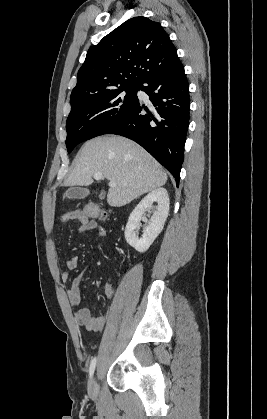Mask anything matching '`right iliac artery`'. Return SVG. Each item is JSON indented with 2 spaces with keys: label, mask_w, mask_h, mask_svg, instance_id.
I'll list each match as a JSON object with an SVG mask.
<instances>
[{
  "label": "right iliac artery",
  "mask_w": 267,
  "mask_h": 419,
  "mask_svg": "<svg viewBox=\"0 0 267 419\" xmlns=\"http://www.w3.org/2000/svg\"><path fill=\"white\" fill-rule=\"evenodd\" d=\"M96 357L93 358V360L91 361L90 367H89V375L90 377H92L95 367H96Z\"/></svg>",
  "instance_id": "82829eb1"
}]
</instances>
